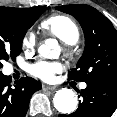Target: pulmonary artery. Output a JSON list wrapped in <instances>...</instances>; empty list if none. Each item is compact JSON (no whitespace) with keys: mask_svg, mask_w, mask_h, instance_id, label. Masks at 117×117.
<instances>
[{"mask_svg":"<svg viewBox=\"0 0 117 117\" xmlns=\"http://www.w3.org/2000/svg\"><path fill=\"white\" fill-rule=\"evenodd\" d=\"M80 87H81L82 89H85V88L87 87V85H86V83H82V84L80 85Z\"/></svg>","mask_w":117,"mask_h":117,"instance_id":"obj_1","label":"pulmonary artery"}]
</instances>
